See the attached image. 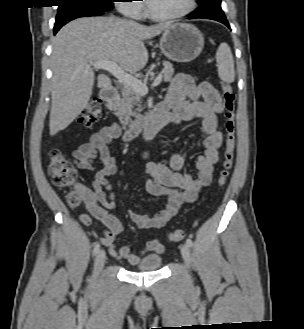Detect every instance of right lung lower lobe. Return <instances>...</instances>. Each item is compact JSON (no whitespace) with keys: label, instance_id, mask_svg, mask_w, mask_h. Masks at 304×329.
I'll return each instance as SVG.
<instances>
[{"label":"right lung lower lobe","instance_id":"right-lung-lower-lobe-1","mask_svg":"<svg viewBox=\"0 0 304 329\" xmlns=\"http://www.w3.org/2000/svg\"><path fill=\"white\" fill-rule=\"evenodd\" d=\"M105 11H100V10H81L77 11L71 14H68L58 20H56L55 25H54V34L57 33V31L66 23L69 21L79 18V17H87V16H99L104 14Z\"/></svg>","mask_w":304,"mask_h":329}]
</instances>
